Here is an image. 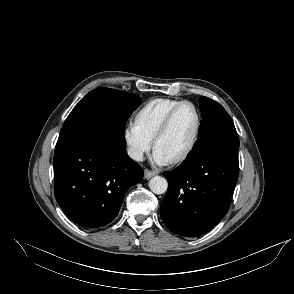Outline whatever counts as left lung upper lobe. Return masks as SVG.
I'll list each match as a JSON object with an SVG mask.
<instances>
[{
	"label": "left lung upper lobe",
	"instance_id": "1",
	"mask_svg": "<svg viewBox=\"0 0 294 294\" xmlns=\"http://www.w3.org/2000/svg\"><path fill=\"white\" fill-rule=\"evenodd\" d=\"M200 109L203 120L199 129V138L221 130H235L229 114L214 100L202 97Z\"/></svg>",
	"mask_w": 294,
	"mask_h": 294
}]
</instances>
